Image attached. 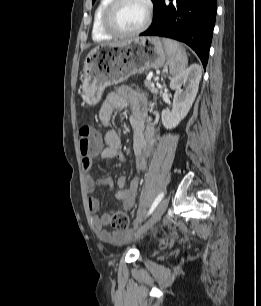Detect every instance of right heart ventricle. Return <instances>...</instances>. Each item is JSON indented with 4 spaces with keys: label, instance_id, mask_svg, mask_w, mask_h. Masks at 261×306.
I'll use <instances>...</instances> for the list:
<instances>
[{
    "label": "right heart ventricle",
    "instance_id": "obj_1",
    "mask_svg": "<svg viewBox=\"0 0 261 306\" xmlns=\"http://www.w3.org/2000/svg\"><path fill=\"white\" fill-rule=\"evenodd\" d=\"M110 0H99L98 5L94 11L92 22V39L100 42L112 38V35L107 33L102 26V14Z\"/></svg>",
    "mask_w": 261,
    "mask_h": 306
}]
</instances>
